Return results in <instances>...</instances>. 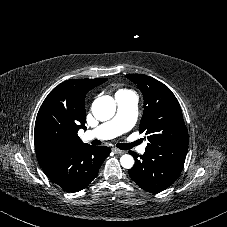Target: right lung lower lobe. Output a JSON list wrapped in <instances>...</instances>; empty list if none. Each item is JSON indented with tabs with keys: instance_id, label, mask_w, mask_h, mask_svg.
Wrapping results in <instances>:
<instances>
[{
	"instance_id": "98d812e1",
	"label": "right lung lower lobe",
	"mask_w": 227,
	"mask_h": 227,
	"mask_svg": "<svg viewBox=\"0 0 227 227\" xmlns=\"http://www.w3.org/2000/svg\"><path fill=\"white\" fill-rule=\"evenodd\" d=\"M109 147L84 144L41 166L47 177L68 192L86 188L110 154Z\"/></svg>"
}]
</instances>
